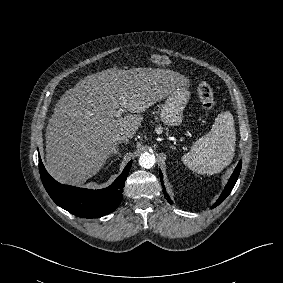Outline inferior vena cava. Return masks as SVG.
Wrapping results in <instances>:
<instances>
[{
  "instance_id": "inferior-vena-cava-1",
  "label": "inferior vena cava",
  "mask_w": 283,
  "mask_h": 283,
  "mask_svg": "<svg viewBox=\"0 0 283 283\" xmlns=\"http://www.w3.org/2000/svg\"><path fill=\"white\" fill-rule=\"evenodd\" d=\"M128 138L125 135H116L114 137V142L118 143V142H124V143H128Z\"/></svg>"
}]
</instances>
